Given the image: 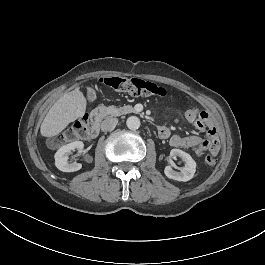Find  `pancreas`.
Returning <instances> with one entry per match:
<instances>
[{
  "label": "pancreas",
  "mask_w": 265,
  "mask_h": 265,
  "mask_svg": "<svg viewBox=\"0 0 265 265\" xmlns=\"http://www.w3.org/2000/svg\"><path fill=\"white\" fill-rule=\"evenodd\" d=\"M135 112L132 105H124L123 107H116L114 105L107 106L105 116H121L128 113Z\"/></svg>",
  "instance_id": "cf45deb5"
}]
</instances>
